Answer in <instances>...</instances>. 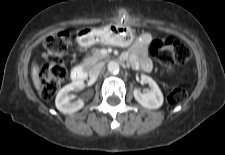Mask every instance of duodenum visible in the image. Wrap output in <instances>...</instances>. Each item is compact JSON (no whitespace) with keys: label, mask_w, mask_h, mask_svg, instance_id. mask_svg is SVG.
Listing matches in <instances>:
<instances>
[{"label":"duodenum","mask_w":225,"mask_h":155,"mask_svg":"<svg viewBox=\"0 0 225 155\" xmlns=\"http://www.w3.org/2000/svg\"><path fill=\"white\" fill-rule=\"evenodd\" d=\"M71 78L73 82H81L86 78V71L83 67H76L72 70Z\"/></svg>","instance_id":"410a0bca"}]
</instances>
